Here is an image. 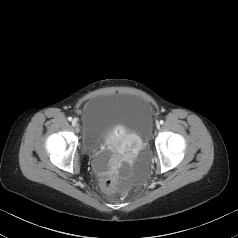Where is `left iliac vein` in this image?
<instances>
[{
	"mask_svg": "<svg viewBox=\"0 0 238 238\" xmlns=\"http://www.w3.org/2000/svg\"><path fill=\"white\" fill-rule=\"evenodd\" d=\"M156 126H157V128H158V129L160 128V124H159V123H157V125H156Z\"/></svg>",
	"mask_w": 238,
	"mask_h": 238,
	"instance_id": "1",
	"label": "left iliac vein"
}]
</instances>
